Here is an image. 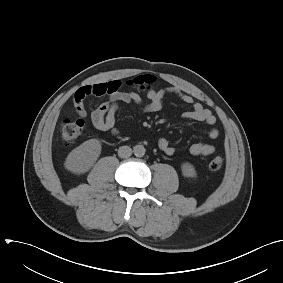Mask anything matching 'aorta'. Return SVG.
Listing matches in <instances>:
<instances>
[{
	"instance_id": "1",
	"label": "aorta",
	"mask_w": 283,
	"mask_h": 283,
	"mask_svg": "<svg viewBox=\"0 0 283 283\" xmlns=\"http://www.w3.org/2000/svg\"><path fill=\"white\" fill-rule=\"evenodd\" d=\"M145 148L143 145H136L134 148H133V152H134V155L137 156V157H142L144 156L145 154Z\"/></svg>"
}]
</instances>
